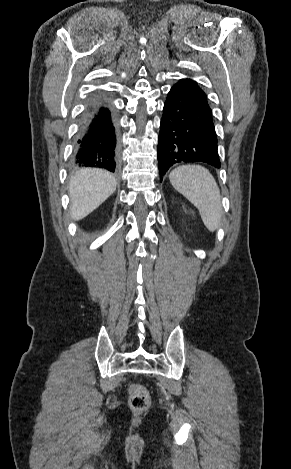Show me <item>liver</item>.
<instances>
[{
    "instance_id": "1",
    "label": "liver",
    "mask_w": 291,
    "mask_h": 469,
    "mask_svg": "<svg viewBox=\"0 0 291 469\" xmlns=\"http://www.w3.org/2000/svg\"><path fill=\"white\" fill-rule=\"evenodd\" d=\"M116 179L108 172L84 169L69 182L70 214L78 221L98 208L115 190Z\"/></svg>"
}]
</instances>
